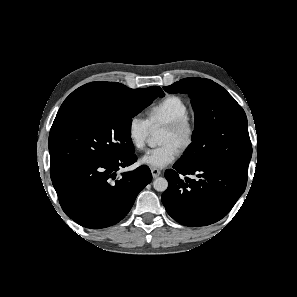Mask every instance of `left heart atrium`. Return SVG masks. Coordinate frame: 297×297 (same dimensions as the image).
<instances>
[{"mask_svg": "<svg viewBox=\"0 0 297 297\" xmlns=\"http://www.w3.org/2000/svg\"><path fill=\"white\" fill-rule=\"evenodd\" d=\"M180 149L173 143H165L150 150L141 162L151 168L162 169L170 165L179 156Z\"/></svg>", "mask_w": 297, "mask_h": 297, "instance_id": "left-heart-atrium-1", "label": "left heart atrium"}]
</instances>
